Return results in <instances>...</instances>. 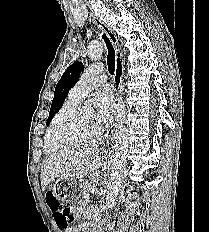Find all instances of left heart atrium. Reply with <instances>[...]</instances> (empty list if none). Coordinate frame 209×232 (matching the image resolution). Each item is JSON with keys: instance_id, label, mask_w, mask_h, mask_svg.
Wrapping results in <instances>:
<instances>
[{"instance_id": "1", "label": "left heart atrium", "mask_w": 209, "mask_h": 232, "mask_svg": "<svg viewBox=\"0 0 209 232\" xmlns=\"http://www.w3.org/2000/svg\"><path fill=\"white\" fill-rule=\"evenodd\" d=\"M94 103L96 120L99 123L106 121L115 105L113 89L108 86L104 87L102 91L95 96Z\"/></svg>"}]
</instances>
